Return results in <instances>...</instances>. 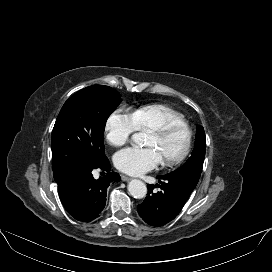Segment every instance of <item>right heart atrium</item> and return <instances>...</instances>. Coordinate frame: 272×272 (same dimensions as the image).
Wrapping results in <instances>:
<instances>
[{
  "instance_id": "obj_1",
  "label": "right heart atrium",
  "mask_w": 272,
  "mask_h": 272,
  "mask_svg": "<svg viewBox=\"0 0 272 272\" xmlns=\"http://www.w3.org/2000/svg\"><path fill=\"white\" fill-rule=\"evenodd\" d=\"M135 131L132 113L122 108L113 110L104 125L105 140L115 147L124 145Z\"/></svg>"
}]
</instances>
